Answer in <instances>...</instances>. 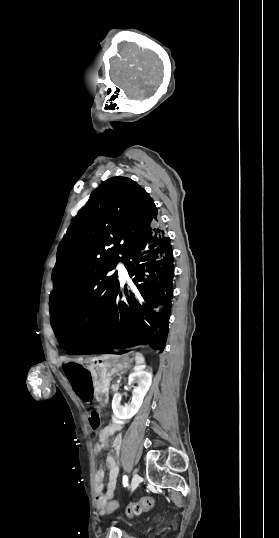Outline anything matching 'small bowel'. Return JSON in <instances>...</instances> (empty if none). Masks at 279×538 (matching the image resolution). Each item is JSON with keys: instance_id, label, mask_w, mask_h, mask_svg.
<instances>
[{"instance_id": "small-bowel-1", "label": "small bowel", "mask_w": 279, "mask_h": 538, "mask_svg": "<svg viewBox=\"0 0 279 538\" xmlns=\"http://www.w3.org/2000/svg\"><path fill=\"white\" fill-rule=\"evenodd\" d=\"M66 378L74 394L82 403L89 405L94 402V381L92 375L87 370H69L66 372ZM88 420L90 427L97 431L98 443L95 445L96 452L105 450L108 446L109 437L120 431L122 428V425L119 422H112L111 424L100 428L101 412L97 408L91 410ZM121 445L122 436L118 434L113 440V454L107 456L106 458L108 482L105 491L103 487L104 470L103 468H99L96 472V500L99 508L106 506L107 501L112 499L115 495L119 473L116 456L119 455Z\"/></svg>"}]
</instances>
